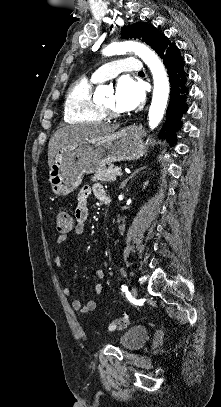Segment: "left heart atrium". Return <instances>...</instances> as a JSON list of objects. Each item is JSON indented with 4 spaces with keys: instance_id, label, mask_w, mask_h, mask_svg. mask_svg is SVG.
<instances>
[{
    "instance_id": "obj_1",
    "label": "left heart atrium",
    "mask_w": 221,
    "mask_h": 407,
    "mask_svg": "<svg viewBox=\"0 0 221 407\" xmlns=\"http://www.w3.org/2000/svg\"><path fill=\"white\" fill-rule=\"evenodd\" d=\"M117 106L129 111L138 107L144 100L142 85L132 77L123 76L118 79L115 89Z\"/></svg>"
}]
</instances>
